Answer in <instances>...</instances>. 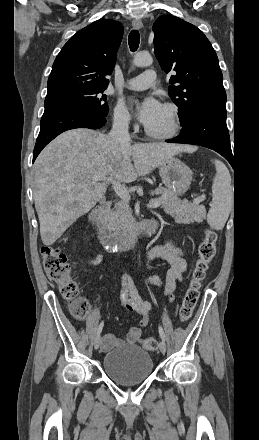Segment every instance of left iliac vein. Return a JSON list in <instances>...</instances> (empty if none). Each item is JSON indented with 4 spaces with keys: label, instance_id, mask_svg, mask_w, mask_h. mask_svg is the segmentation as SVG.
I'll list each match as a JSON object with an SVG mask.
<instances>
[{
    "label": "left iliac vein",
    "instance_id": "1",
    "mask_svg": "<svg viewBox=\"0 0 259 440\" xmlns=\"http://www.w3.org/2000/svg\"><path fill=\"white\" fill-rule=\"evenodd\" d=\"M159 349L161 351L162 354H164L166 352V343L164 340H161L159 343Z\"/></svg>",
    "mask_w": 259,
    "mask_h": 440
}]
</instances>
